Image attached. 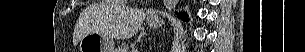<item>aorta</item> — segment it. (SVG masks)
Segmentation results:
<instances>
[{
  "instance_id": "1",
  "label": "aorta",
  "mask_w": 305,
  "mask_h": 52,
  "mask_svg": "<svg viewBox=\"0 0 305 52\" xmlns=\"http://www.w3.org/2000/svg\"><path fill=\"white\" fill-rule=\"evenodd\" d=\"M179 0H164L163 4L167 10L175 9Z\"/></svg>"
}]
</instances>
